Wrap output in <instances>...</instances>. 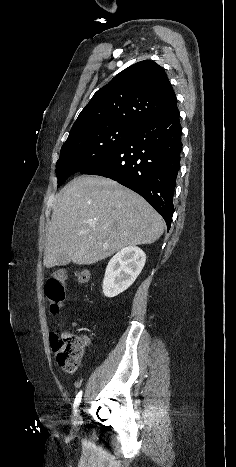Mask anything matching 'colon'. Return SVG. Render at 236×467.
Listing matches in <instances>:
<instances>
[{"instance_id": "colon-1", "label": "colon", "mask_w": 236, "mask_h": 467, "mask_svg": "<svg viewBox=\"0 0 236 467\" xmlns=\"http://www.w3.org/2000/svg\"><path fill=\"white\" fill-rule=\"evenodd\" d=\"M72 273L78 283L84 284L88 281V270L78 268ZM66 279L67 272L64 269H58L45 284V295L51 313H58L64 304ZM51 344L59 366L66 372H75L87 344L86 337L63 331L52 335Z\"/></svg>"}]
</instances>
